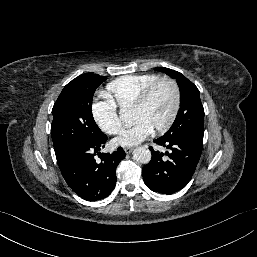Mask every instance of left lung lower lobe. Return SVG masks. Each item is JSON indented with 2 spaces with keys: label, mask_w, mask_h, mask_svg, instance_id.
<instances>
[{
  "label": "left lung lower lobe",
  "mask_w": 257,
  "mask_h": 257,
  "mask_svg": "<svg viewBox=\"0 0 257 257\" xmlns=\"http://www.w3.org/2000/svg\"><path fill=\"white\" fill-rule=\"evenodd\" d=\"M154 143L171 149L165 154L152 150L151 161L143 168V180L154 192L172 194L187 185L199 162L203 139L188 136L173 139L160 137Z\"/></svg>",
  "instance_id": "obj_1"
}]
</instances>
